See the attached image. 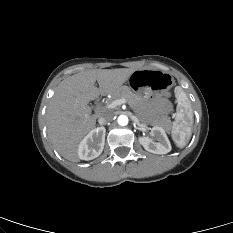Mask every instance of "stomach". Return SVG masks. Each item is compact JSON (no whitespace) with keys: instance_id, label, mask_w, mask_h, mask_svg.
<instances>
[{"instance_id":"1","label":"stomach","mask_w":233,"mask_h":233,"mask_svg":"<svg viewBox=\"0 0 233 233\" xmlns=\"http://www.w3.org/2000/svg\"><path fill=\"white\" fill-rule=\"evenodd\" d=\"M132 92L141 98L149 99L153 95L164 92L172 84V77L167 72L156 69L136 70L130 77Z\"/></svg>"}]
</instances>
